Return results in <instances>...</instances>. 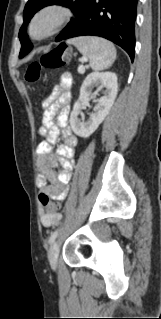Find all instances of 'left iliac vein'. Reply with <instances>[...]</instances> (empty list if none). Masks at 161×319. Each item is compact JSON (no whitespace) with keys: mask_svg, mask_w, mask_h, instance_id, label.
<instances>
[{"mask_svg":"<svg viewBox=\"0 0 161 319\" xmlns=\"http://www.w3.org/2000/svg\"><path fill=\"white\" fill-rule=\"evenodd\" d=\"M58 243L54 242L48 252V259H49V263L51 265L52 268H56L57 266V261H58Z\"/></svg>","mask_w":161,"mask_h":319,"instance_id":"obj_1","label":"left iliac vein"}]
</instances>
